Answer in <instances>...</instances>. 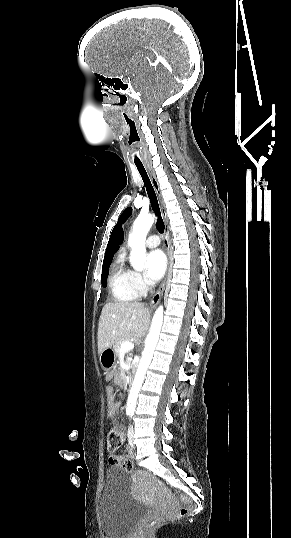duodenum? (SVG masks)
Returning a JSON list of instances; mask_svg holds the SVG:
<instances>
[{"label":"duodenum","instance_id":"duodenum-1","mask_svg":"<svg viewBox=\"0 0 291 538\" xmlns=\"http://www.w3.org/2000/svg\"><path fill=\"white\" fill-rule=\"evenodd\" d=\"M128 377H129V380H128L129 382L127 383V386H128L129 388H132V387L134 386L133 378L135 377V374H134L133 372H130V373L128 374Z\"/></svg>","mask_w":291,"mask_h":538}]
</instances>
